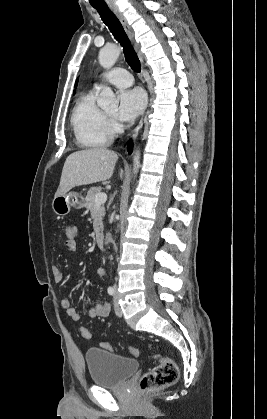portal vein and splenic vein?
<instances>
[{
    "label": "portal vein and splenic vein",
    "instance_id": "portal-vein-and-splenic-vein-1",
    "mask_svg": "<svg viewBox=\"0 0 267 419\" xmlns=\"http://www.w3.org/2000/svg\"><path fill=\"white\" fill-rule=\"evenodd\" d=\"M106 200H107V194L99 193V194L96 195L95 202H96L97 205L104 204L106 202Z\"/></svg>",
    "mask_w": 267,
    "mask_h": 419
}]
</instances>
